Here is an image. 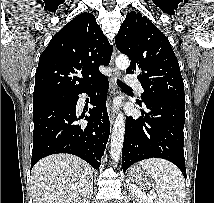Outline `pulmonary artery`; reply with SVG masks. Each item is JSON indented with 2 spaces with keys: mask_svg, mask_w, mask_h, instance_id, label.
Here are the masks:
<instances>
[{
  "mask_svg": "<svg viewBox=\"0 0 214 203\" xmlns=\"http://www.w3.org/2000/svg\"><path fill=\"white\" fill-rule=\"evenodd\" d=\"M126 84L129 87L136 89L139 94L143 93V87H142L140 81L138 79L132 77L130 74L127 75V77H126Z\"/></svg>",
  "mask_w": 214,
  "mask_h": 203,
  "instance_id": "1",
  "label": "pulmonary artery"
}]
</instances>
